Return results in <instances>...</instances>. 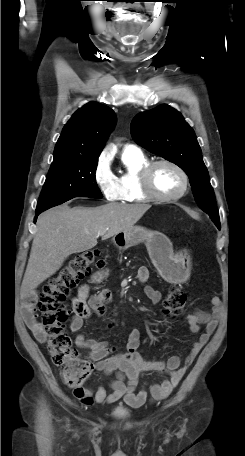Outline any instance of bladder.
Listing matches in <instances>:
<instances>
[{
	"instance_id": "bladder-1",
	"label": "bladder",
	"mask_w": 245,
	"mask_h": 456,
	"mask_svg": "<svg viewBox=\"0 0 245 456\" xmlns=\"http://www.w3.org/2000/svg\"><path fill=\"white\" fill-rule=\"evenodd\" d=\"M113 415L117 418H124L128 415V411L123 407H117L114 409Z\"/></svg>"
}]
</instances>
